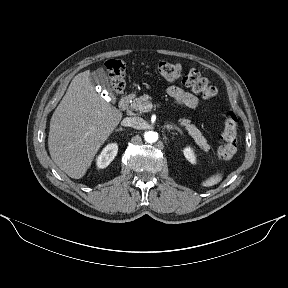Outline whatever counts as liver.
Masks as SVG:
<instances>
[{"label":"liver","instance_id":"1","mask_svg":"<svg viewBox=\"0 0 288 288\" xmlns=\"http://www.w3.org/2000/svg\"><path fill=\"white\" fill-rule=\"evenodd\" d=\"M89 76L87 70L73 78L50 121V156L74 179L85 175L122 119V113L95 91Z\"/></svg>","mask_w":288,"mask_h":288}]
</instances>
